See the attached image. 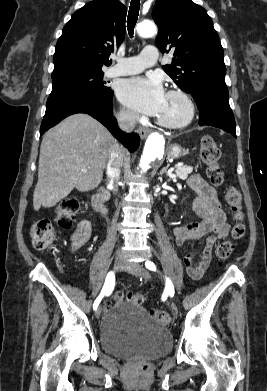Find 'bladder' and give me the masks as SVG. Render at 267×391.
Instances as JSON below:
<instances>
[{
    "label": "bladder",
    "instance_id": "bladder-1",
    "mask_svg": "<svg viewBox=\"0 0 267 391\" xmlns=\"http://www.w3.org/2000/svg\"><path fill=\"white\" fill-rule=\"evenodd\" d=\"M100 342L110 355L152 360L170 351L172 336L141 305L119 301L100 321Z\"/></svg>",
    "mask_w": 267,
    "mask_h": 391
}]
</instances>
